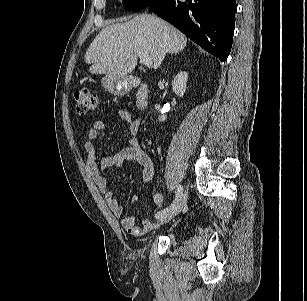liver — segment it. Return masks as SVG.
<instances>
[{
	"label": "liver",
	"mask_w": 307,
	"mask_h": 301,
	"mask_svg": "<svg viewBox=\"0 0 307 301\" xmlns=\"http://www.w3.org/2000/svg\"><path fill=\"white\" fill-rule=\"evenodd\" d=\"M187 37L166 21L150 14L105 27L90 44L85 62L92 74L127 76L137 65L138 54L152 58L158 69L166 53L176 54Z\"/></svg>",
	"instance_id": "obj_1"
}]
</instances>
